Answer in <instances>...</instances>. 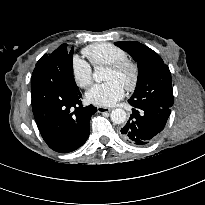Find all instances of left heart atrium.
<instances>
[{"label":"left heart atrium","mask_w":205,"mask_h":205,"mask_svg":"<svg viewBox=\"0 0 205 205\" xmlns=\"http://www.w3.org/2000/svg\"><path fill=\"white\" fill-rule=\"evenodd\" d=\"M123 96L124 86L116 80H109L92 87L86 94V101L96 106L109 107L115 105Z\"/></svg>","instance_id":"1"}]
</instances>
